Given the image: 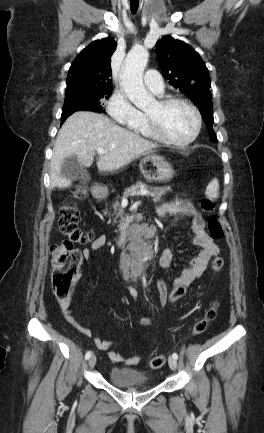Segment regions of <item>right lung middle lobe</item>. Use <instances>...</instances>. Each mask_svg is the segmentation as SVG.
<instances>
[{
	"instance_id": "1",
	"label": "right lung middle lobe",
	"mask_w": 264,
	"mask_h": 433,
	"mask_svg": "<svg viewBox=\"0 0 264 433\" xmlns=\"http://www.w3.org/2000/svg\"><path fill=\"white\" fill-rule=\"evenodd\" d=\"M112 89L96 91L91 93L74 94L65 98L61 115V124L72 113L79 110H90L98 113L103 112V103L101 99H108Z\"/></svg>"
}]
</instances>
